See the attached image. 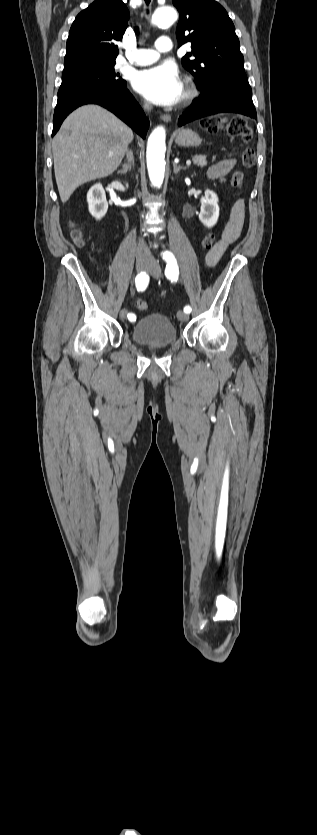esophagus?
Masks as SVG:
<instances>
[{
	"mask_svg": "<svg viewBox=\"0 0 317 835\" xmlns=\"http://www.w3.org/2000/svg\"><path fill=\"white\" fill-rule=\"evenodd\" d=\"M161 119L166 123L171 122V116L169 114H162Z\"/></svg>",
	"mask_w": 317,
	"mask_h": 835,
	"instance_id": "34e87169",
	"label": "esophagus"
}]
</instances>
